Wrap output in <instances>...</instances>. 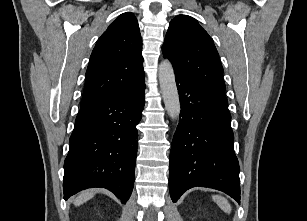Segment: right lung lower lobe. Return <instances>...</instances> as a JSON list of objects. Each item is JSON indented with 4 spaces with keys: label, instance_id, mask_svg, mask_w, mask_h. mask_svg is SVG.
Segmentation results:
<instances>
[{
    "label": "right lung lower lobe",
    "instance_id": "right-lung-lower-lobe-1",
    "mask_svg": "<svg viewBox=\"0 0 307 221\" xmlns=\"http://www.w3.org/2000/svg\"><path fill=\"white\" fill-rule=\"evenodd\" d=\"M145 103V82L109 98L81 107L64 162V199L77 192L104 187L123 204L134 185L138 147L136 125Z\"/></svg>",
    "mask_w": 307,
    "mask_h": 221
}]
</instances>
